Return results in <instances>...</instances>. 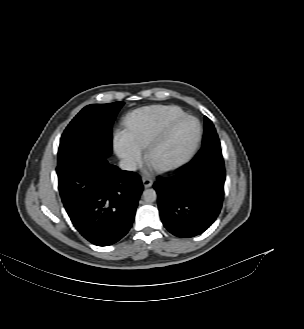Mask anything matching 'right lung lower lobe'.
<instances>
[{
    "mask_svg": "<svg viewBox=\"0 0 304 329\" xmlns=\"http://www.w3.org/2000/svg\"><path fill=\"white\" fill-rule=\"evenodd\" d=\"M57 174L65 209L83 237L108 246L126 235L143 190L136 173L85 155L58 165Z\"/></svg>",
    "mask_w": 304,
    "mask_h": 329,
    "instance_id": "right-lung-lower-lobe-1",
    "label": "right lung lower lobe"
}]
</instances>
